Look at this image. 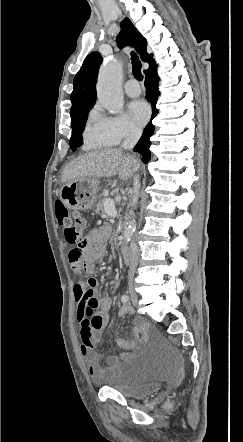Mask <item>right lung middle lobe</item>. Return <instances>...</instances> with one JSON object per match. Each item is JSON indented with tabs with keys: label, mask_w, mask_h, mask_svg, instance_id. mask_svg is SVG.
Returning a JSON list of instances; mask_svg holds the SVG:
<instances>
[{
	"label": "right lung middle lobe",
	"mask_w": 243,
	"mask_h": 442,
	"mask_svg": "<svg viewBox=\"0 0 243 442\" xmlns=\"http://www.w3.org/2000/svg\"><path fill=\"white\" fill-rule=\"evenodd\" d=\"M88 114L87 112L82 113L78 119H76L74 122L71 123L72 127V136L70 139V146L73 150L77 148V146H80L83 142V139L81 137L82 130L85 127L86 124V116Z\"/></svg>",
	"instance_id": "1"
}]
</instances>
